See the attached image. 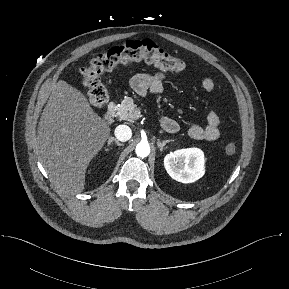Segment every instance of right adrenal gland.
<instances>
[{
  "label": "right adrenal gland",
  "mask_w": 289,
  "mask_h": 289,
  "mask_svg": "<svg viewBox=\"0 0 289 289\" xmlns=\"http://www.w3.org/2000/svg\"><path fill=\"white\" fill-rule=\"evenodd\" d=\"M115 143L117 146H123L122 143H120L116 138L110 137L108 140V146H110L112 143Z\"/></svg>",
  "instance_id": "obj_1"
}]
</instances>
